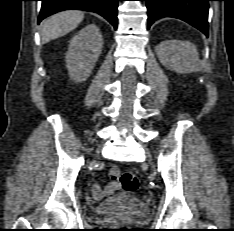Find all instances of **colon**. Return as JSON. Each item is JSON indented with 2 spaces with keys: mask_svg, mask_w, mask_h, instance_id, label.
Segmentation results:
<instances>
[{
  "mask_svg": "<svg viewBox=\"0 0 234 231\" xmlns=\"http://www.w3.org/2000/svg\"><path fill=\"white\" fill-rule=\"evenodd\" d=\"M112 177L118 179L121 189L126 194L135 193L139 188V180L137 176L131 171L119 172L117 169L112 171ZM124 230V229H119Z\"/></svg>",
  "mask_w": 234,
  "mask_h": 231,
  "instance_id": "1",
  "label": "colon"
}]
</instances>
